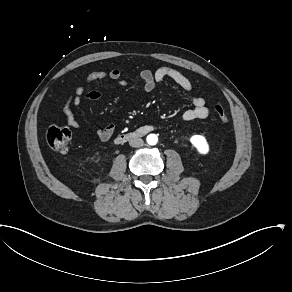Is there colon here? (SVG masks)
<instances>
[{
    "mask_svg": "<svg viewBox=\"0 0 292 292\" xmlns=\"http://www.w3.org/2000/svg\"><path fill=\"white\" fill-rule=\"evenodd\" d=\"M213 109L223 123L229 124L228 114L221 104H215ZM46 140L54 153L64 154L67 152V147L71 140V133L69 129L62 126H52L47 130Z\"/></svg>",
    "mask_w": 292,
    "mask_h": 292,
    "instance_id": "1",
    "label": "colon"
}]
</instances>
